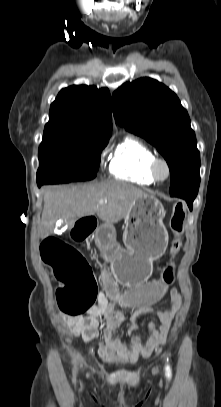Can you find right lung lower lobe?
<instances>
[{
	"label": "right lung lower lobe",
	"mask_w": 221,
	"mask_h": 407,
	"mask_svg": "<svg viewBox=\"0 0 221 407\" xmlns=\"http://www.w3.org/2000/svg\"><path fill=\"white\" fill-rule=\"evenodd\" d=\"M37 184H38V187H40L41 185H43L42 183H40V182H37Z\"/></svg>",
	"instance_id": "right-lung-lower-lobe-1"
}]
</instances>
